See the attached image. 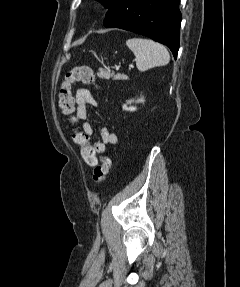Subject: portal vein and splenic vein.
Returning a JSON list of instances; mask_svg holds the SVG:
<instances>
[{
	"instance_id": "obj_1",
	"label": "portal vein and splenic vein",
	"mask_w": 240,
	"mask_h": 287,
	"mask_svg": "<svg viewBox=\"0 0 240 287\" xmlns=\"http://www.w3.org/2000/svg\"><path fill=\"white\" fill-rule=\"evenodd\" d=\"M132 68H134V66L133 65H129V69H132ZM116 71H118V68H116Z\"/></svg>"
}]
</instances>
